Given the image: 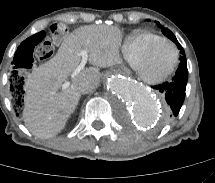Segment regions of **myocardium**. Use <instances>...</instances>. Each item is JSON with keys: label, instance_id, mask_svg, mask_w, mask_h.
Masks as SVG:
<instances>
[{"label": "myocardium", "instance_id": "obj_1", "mask_svg": "<svg viewBox=\"0 0 215 183\" xmlns=\"http://www.w3.org/2000/svg\"><path fill=\"white\" fill-rule=\"evenodd\" d=\"M160 43H168L172 46L173 50H174V58H173V62L171 64V66L162 74L158 75V76H149L145 73L144 69H143V63L146 59V57L149 55V53ZM179 63V50L177 48V46L169 39L166 38H161L155 42H153L152 44H150L136 59V61L134 62L132 68L135 71V73L137 74L138 78L143 81L146 84L149 85H160L162 83H164L165 81H167L175 72L177 66Z\"/></svg>", "mask_w": 215, "mask_h": 183}]
</instances>
